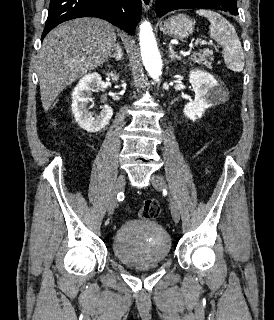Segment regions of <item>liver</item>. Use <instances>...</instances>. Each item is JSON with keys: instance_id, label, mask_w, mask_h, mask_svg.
Segmentation results:
<instances>
[{"instance_id": "6515ba94", "label": "liver", "mask_w": 274, "mask_h": 320, "mask_svg": "<svg viewBox=\"0 0 274 320\" xmlns=\"http://www.w3.org/2000/svg\"><path fill=\"white\" fill-rule=\"evenodd\" d=\"M116 40L112 24L99 18H77L49 32L39 54L44 112L67 86L102 66L115 50Z\"/></svg>"}]
</instances>
